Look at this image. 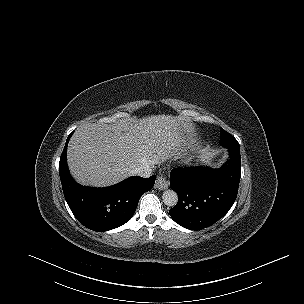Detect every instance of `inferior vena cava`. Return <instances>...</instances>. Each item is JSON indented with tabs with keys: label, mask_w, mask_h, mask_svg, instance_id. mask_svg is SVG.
I'll list each match as a JSON object with an SVG mask.
<instances>
[{
	"label": "inferior vena cava",
	"mask_w": 304,
	"mask_h": 304,
	"mask_svg": "<svg viewBox=\"0 0 304 304\" xmlns=\"http://www.w3.org/2000/svg\"><path fill=\"white\" fill-rule=\"evenodd\" d=\"M153 170V165L151 163L145 162L135 167L131 172L133 175L148 178L153 174Z\"/></svg>",
	"instance_id": "inferior-vena-cava-1"
}]
</instances>
